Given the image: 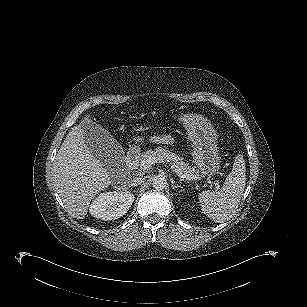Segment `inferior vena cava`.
<instances>
[{"label": "inferior vena cava", "mask_w": 307, "mask_h": 307, "mask_svg": "<svg viewBox=\"0 0 307 307\" xmlns=\"http://www.w3.org/2000/svg\"><path fill=\"white\" fill-rule=\"evenodd\" d=\"M143 182H144L143 177H134L133 179H131L130 185L131 186H138V185L142 184Z\"/></svg>", "instance_id": "obj_1"}]
</instances>
